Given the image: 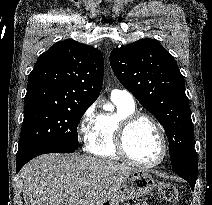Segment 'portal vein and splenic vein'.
Returning a JSON list of instances; mask_svg holds the SVG:
<instances>
[{
    "instance_id": "portal-vein-and-splenic-vein-1",
    "label": "portal vein and splenic vein",
    "mask_w": 212,
    "mask_h": 205,
    "mask_svg": "<svg viewBox=\"0 0 212 205\" xmlns=\"http://www.w3.org/2000/svg\"><path fill=\"white\" fill-rule=\"evenodd\" d=\"M84 185H86V183H80V186H84Z\"/></svg>"
}]
</instances>
